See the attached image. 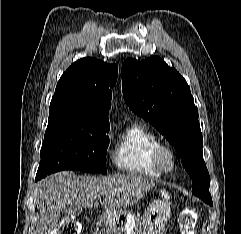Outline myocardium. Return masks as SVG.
Wrapping results in <instances>:
<instances>
[{"mask_svg": "<svg viewBox=\"0 0 241 234\" xmlns=\"http://www.w3.org/2000/svg\"><path fill=\"white\" fill-rule=\"evenodd\" d=\"M153 160L157 168L163 173H170L176 165L174 150L164 144H159L153 152Z\"/></svg>", "mask_w": 241, "mask_h": 234, "instance_id": "f54148a6", "label": "myocardium"}]
</instances>
